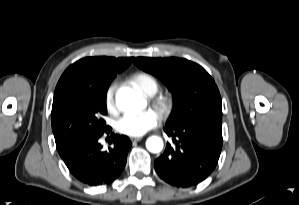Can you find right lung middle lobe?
Masks as SVG:
<instances>
[{"label":"right lung middle lobe","mask_w":299,"mask_h":205,"mask_svg":"<svg viewBox=\"0 0 299 205\" xmlns=\"http://www.w3.org/2000/svg\"><path fill=\"white\" fill-rule=\"evenodd\" d=\"M113 79L74 86L61 97L52 109V130L58 151L105 130L102 116L107 114L106 93Z\"/></svg>","instance_id":"dd1d6c3e"}]
</instances>
